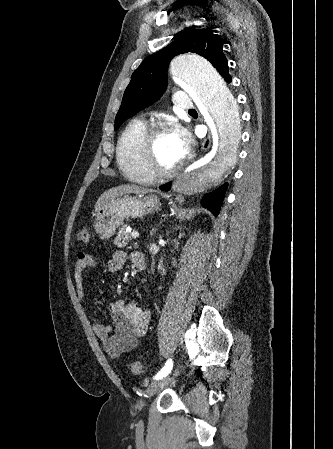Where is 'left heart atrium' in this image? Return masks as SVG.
<instances>
[{
    "mask_svg": "<svg viewBox=\"0 0 333 449\" xmlns=\"http://www.w3.org/2000/svg\"><path fill=\"white\" fill-rule=\"evenodd\" d=\"M177 150L180 154V156L183 158L189 149V142L187 134L184 130L178 128L172 132Z\"/></svg>",
    "mask_w": 333,
    "mask_h": 449,
    "instance_id": "1",
    "label": "left heart atrium"
}]
</instances>
